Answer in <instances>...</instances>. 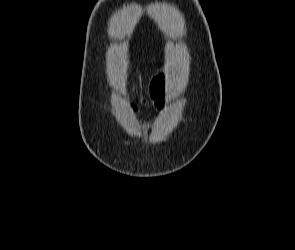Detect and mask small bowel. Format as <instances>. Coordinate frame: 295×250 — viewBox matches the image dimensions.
<instances>
[{
    "mask_svg": "<svg viewBox=\"0 0 295 250\" xmlns=\"http://www.w3.org/2000/svg\"><path fill=\"white\" fill-rule=\"evenodd\" d=\"M164 73H160L154 78L149 86L150 98L155 103L156 107L161 110L164 107Z\"/></svg>",
    "mask_w": 295,
    "mask_h": 250,
    "instance_id": "c3829d8e",
    "label": "small bowel"
}]
</instances>
